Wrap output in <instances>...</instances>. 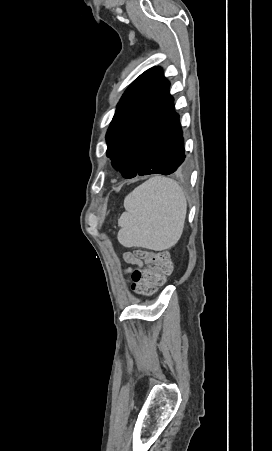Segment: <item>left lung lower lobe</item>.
<instances>
[{
	"label": "left lung lower lobe",
	"mask_w": 272,
	"mask_h": 451,
	"mask_svg": "<svg viewBox=\"0 0 272 451\" xmlns=\"http://www.w3.org/2000/svg\"><path fill=\"white\" fill-rule=\"evenodd\" d=\"M179 115L173 102L160 119L136 175H169L187 167Z\"/></svg>",
	"instance_id": "obj_1"
}]
</instances>
